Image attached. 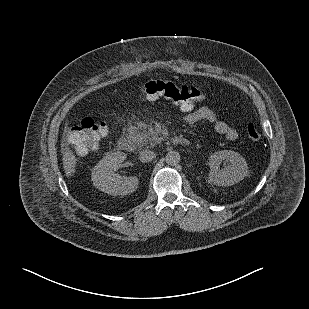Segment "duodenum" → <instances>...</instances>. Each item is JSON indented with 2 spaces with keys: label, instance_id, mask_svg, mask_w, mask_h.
Listing matches in <instances>:
<instances>
[{
  "label": "duodenum",
  "instance_id": "410a0bca",
  "mask_svg": "<svg viewBox=\"0 0 309 309\" xmlns=\"http://www.w3.org/2000/svg\"><path fill=\"white\" fill-rule=\"evenodd\" d=\"M175 142L181 145H187L189 143L187 139L182 138V137H176ZM118 148L123 151H132L134 146L131 140H129L126 137H122L118 141Z\"/></svg>",
  "mask_w": 309,
  "mask_h": 309
}]
</instances>
